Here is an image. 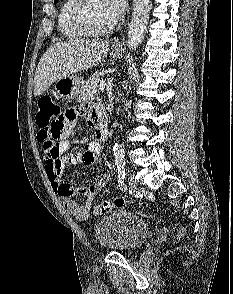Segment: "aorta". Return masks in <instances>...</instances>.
<instances>
[{
	"label": "aorta",
	"instance_id": "762f6f07",
	"mask_svg": "<svg viewBox=\"0 0 233 294\" xmlns=\"http://www.w3.org/2000/svg\"><path fill=\"white\" fill-rule=\"evenodd\" d=\"M150 12V0H134L131 22L128 30V47L135 50L143 41ZM115 163L118 167L125 164L124 150L119 144L113 146Z\"/></svg>",
	"mask_w": 233,
	"mask_h": 294
}]
</instances>
